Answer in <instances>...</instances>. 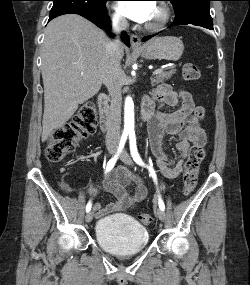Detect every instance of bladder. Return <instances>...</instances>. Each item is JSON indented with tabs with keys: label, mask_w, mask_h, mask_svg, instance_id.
<instances>
[{
	"label": "bladder",
	"mask_w": 250,
	"mask_h": 285,
	"mask_svg": "<svg viewBox=\"0 0 250 285\" xmlns=\"http://www.w3.org/2000/svg\"><path fill=\"white\" fill-rule=\"evenodd\" d=\"M95 239L103 250L117 256H127L137 254L147 247L149 233L133 218L116 215L97 222Z\"/></svg>",
	"instance_id": "obj_1"
}]
</instances>
